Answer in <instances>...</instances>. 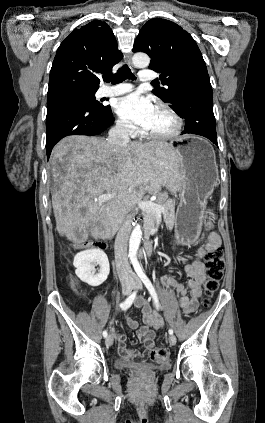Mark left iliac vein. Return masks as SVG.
Here are the masks:
<instances>
[{"mask_svg":"<svg viewBox=\"0 0 265 423\" xmlns=\"http://www.w3.org/2000/svg\"><path fill=\"white\" fill-rule=\"evenodd\" d=\"M133 286L136 289H141L142 288V283H141L140 279L137 276L134 277ZM169 343H170L171 346H173V345L176 344V337L174 335H170L169 336Z\"/></svg>","mask_w":265,"mask_h":423,"instance_id":"left-iliac-vein-1","label":"left iliac vein"}]
</instances>
